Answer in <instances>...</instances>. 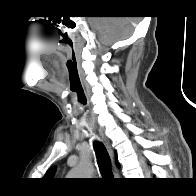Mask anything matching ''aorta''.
Listing matches in <instances>:
<instances>
[{"instance_id": "762f6f07", "label": "aorta", "mask_w": 196, "mask_h": 196, "mask_svg": "<svg viewBox=\"0 0 196 196\" xmlns=\"http://www.w3.org/2000/svg\"><path fill=\"white\" fill-rule=\"evenodd\" d=\"M91 164L87 161H81L76 168L70 172L72 178H85L91 174Z\"/></svg>"}]
</instances>
